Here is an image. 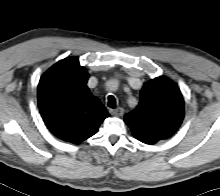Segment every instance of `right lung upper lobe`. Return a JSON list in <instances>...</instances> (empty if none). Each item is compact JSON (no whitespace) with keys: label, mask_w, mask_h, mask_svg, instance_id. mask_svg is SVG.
<instances>
[{"label":"right lung upper lobe","mask_w":220,"mask_h":196,"mask_svg":"<svg viewBox=\"0 0 220 196\" xmlns=\"http://www.w3.org/2000/svg\"><path fill=\"white\" fill-rule=\"evenodd\" d=\"M88 78L78 59L68 57L47 70L38 85V106L45 124L55 136L74 144L93 136L109 117L88 89Z\"/></svg>","instance_id":"cb5924a9"}]
</instances>
